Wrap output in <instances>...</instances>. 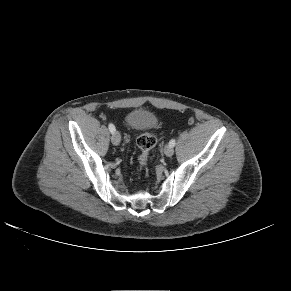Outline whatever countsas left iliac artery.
<instances>
[{
	"label": "left iliac artery",
	"instance_id": "1",
	"mask_svg": "<svg viewBox=\"0 0 291 291\" xmlns=\"http://www.w3.org/2000/svg\"><path fill=\"white\" fill-rule=\"evenodd\" d=\"M175 144H176L175 139H171V140L169 141V145H170L171 147H174Z\"/></svg>",
	"mask_w": 291,
	"mask_h": 291
}]
</instances>
